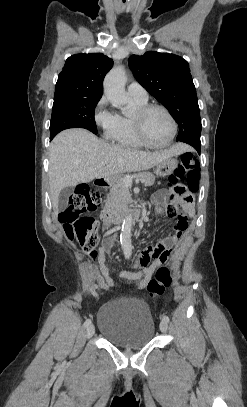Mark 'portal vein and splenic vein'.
Wrapping results in <instances>:
<instances>
[{"label": "portal vein and splenic vein", "mask_w": 247, "mask_h": 407, "mask_svg": "<svg viewBox=\"0 0 247 407\" xmlns=\"http://www.w3.org/2000/svg\"><path fill=\"white\" fill-rule=\"evenodd\" d=\"M106 163H100L99 164V167H102V166H104ZM123 181H124V183L127 185V186H131V184H132V177H130V176H127V177H125L124 179H123Z\"/></svg>", "instance_id": "18ae733b"}]
</instances>
